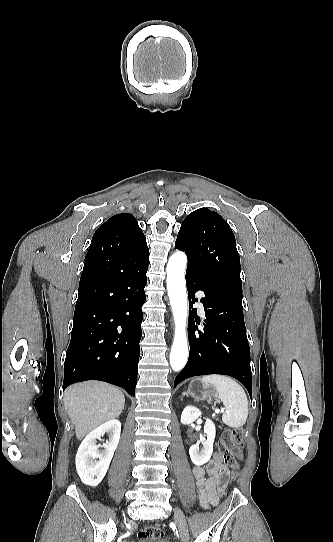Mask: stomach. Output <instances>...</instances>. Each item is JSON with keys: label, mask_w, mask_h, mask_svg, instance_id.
I'll list each match as a JSON object with an SVG mask.
<instances>
[{"label": "stomach", "mask_w": 333, "mask_h": 542, "mask_svg": "<svg viewBox=\"0 0 333 542\" xmlns=\"http://www.w3.org/2000/svg\"><path fill=\"white\" fill-rule=\"evenodd\" d=\"M188 394L191 398H195V400H210V398L216 400V398H218V394L213 386L203 384L201 378L191 380L188 386Z\"/></svg>", "instance_id": "0dacf381"}]
</instances>
